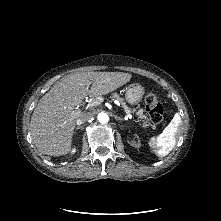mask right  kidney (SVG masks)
Here are the masks:
<instances>
[{
  "label": "right kidney",
  "mask_w": 221,
  "mask_h": 221,
  "mask_svg": "<svg viewBox=\"0 0 221 221\" xmlns=\"http://www.w3.org/2000/svg\"><path fill=\"white\" fill-rule=\"evenodd\" d=\"M71 152H72V153H75V152H76V149H73Z\"/></svg>",
  "instance_id": "1"
}]
</instances>
